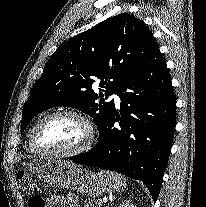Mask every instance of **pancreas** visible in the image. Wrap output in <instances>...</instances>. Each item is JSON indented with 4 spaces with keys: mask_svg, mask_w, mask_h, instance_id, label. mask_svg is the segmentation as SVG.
<instances>
[{
    "mask_svg": "<svg viewBox=\"0 0 206 207\" xmlns=\"http://www.w3.org/2000/svg\"><path fill=\"white\" fill-rule=\"evenodd\" d=\"M84 207H100V201H89L84 204Z\"/></svg>",
    "mask_w": 206,
    "mask_h": 207,
    "instance_id": "1",
    "label": "pancreas"
}]
</instances>
